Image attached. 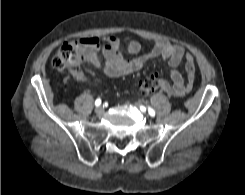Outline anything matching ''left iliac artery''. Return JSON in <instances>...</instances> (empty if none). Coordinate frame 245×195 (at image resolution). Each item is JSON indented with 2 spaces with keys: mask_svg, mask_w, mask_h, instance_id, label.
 <instances>
[{
  "mask_svg": "<svg viewBox=\"0 0 245 195\" xmlns=\"http://www.w3.org/2000/svg\"><path fill=\"white\" fill-rule=\"evenodd\" d=\"M141 108L143 109V107H141ZM148 113H149V115L152 116V117L155 116V111H154L151 107L148 108Z\"/></svg>",
  "mask_w": 245,
  "mask_h": 195,
  "instance_id": "obj_1",
  "label": "left iliac artery"
}]
</instances>
